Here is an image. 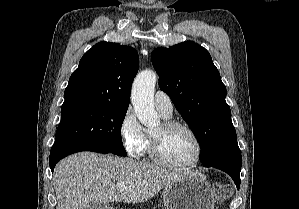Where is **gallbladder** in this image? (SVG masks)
Returning <instances> with one entry per match:
<instances>
[{
  "instance_id": "bac80fb5",
  "label": "gallbladder",
  "mask_w": 299,
  "mask_h": 209,
  "mask_svg": "<svg viewBox=\"0 0 299 209\" xmlns=\"http://www.w3.org/2000/svg\"><path fill=\"white\" fill-rule=\"evenodd\" d=\"M85 209H101L100 203L97 202H90L86 205Z\"/></svg>"
}]
</instances>
